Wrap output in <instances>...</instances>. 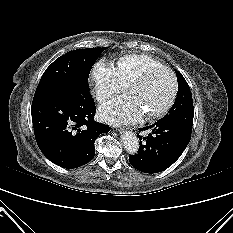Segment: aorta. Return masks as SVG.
<instances>
[{"instance_id":"1","label":"aorta","mask_w":233,"mask_h":233,"mask_svg":"<svg viewBox=\"0 0 233 233\" xmlns=\"http://www.w3.org/2000/svg\"><path fill=\"white\" fill-rule=\"evenodd\" d=\"M122 144L129 154H136L139 150V139L133 132L126 131L122 134Z\"/></svg>"}]
</instances>
